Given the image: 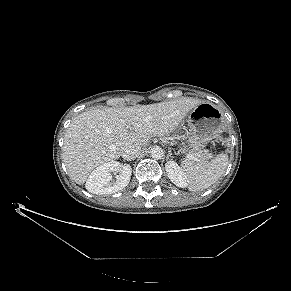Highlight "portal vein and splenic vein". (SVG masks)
I'll use <instances>...</instances> for the list:
<instances>
[{
    "label": "portal vein and splenic vein",
    "mask_w": 291,
    "mask_h": 291,
    "mask_svg": "<svg viewBox=\"0 0 291 291\" xmlns=\"http://www.w3.org/2000/svg\"><path fill=\"white\" fill-rule=\"evenodd\" d=\"M187 158L189 159V160H193V161H195L197 158L194 156V155H192V154H187Z\"/></svg>",
    "instance_id": "portal-vein-and-splenic-vein-1"
}]
</instances>
